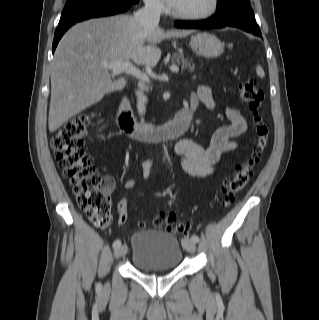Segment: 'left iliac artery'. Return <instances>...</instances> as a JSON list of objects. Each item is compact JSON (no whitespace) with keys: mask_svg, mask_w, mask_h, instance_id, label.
<instances>
[{"mask_svg":"<svg viewBox=\"0 0 319 320\" xmlns=\"http://www.w3.org/2000/svg\"><path fill=\"white\" fill-rule=\"evenodd\" d=\"M191 240L194 241L195 243L199 241V237L197 235H192Z\"/></svg>","mask_w":319,"mask_h":320,"instance_id":"44dca946","label":"left iliac artery"}]
</instances>
